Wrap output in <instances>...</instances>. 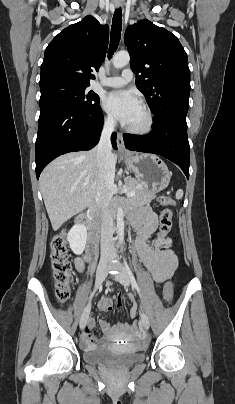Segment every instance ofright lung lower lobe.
Returning a JSON list of instances; mask_svg holds the SVG:
<instances>
[{"instance_id":"right-lung-lower-lobe-1","label":"right lung lower lobe","mask_w":235,"mask_h":404,"mask_svg":"<svg viewBox=\"0 0 235 404\" xmlns=\"http://www.w3.org/2000/svg\"><path fill=\"white\" fill-rule=\"evenodd\" d=\"M100 105L86 110H72L63 106L40 108L38 135L35 144L36 176L56 157L93 148L99 141L103 126ZM114 149L116 133L111 137Z\"/></svg>"}]
</instances>
